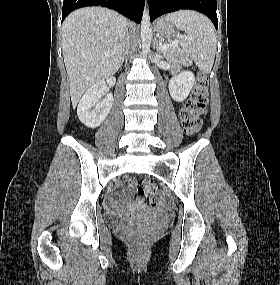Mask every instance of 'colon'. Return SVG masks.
Masks as SVG:
<instances>
[{
	"instance_id": "colon-1",
	"label": "colon",
	"mask_w": 280,
	"mask_h": 285,
	"mask_svg": "<svg viewBox=\"0 0 280 285\" xmlns=\"http://www.w3.org/2000/svg\"><path fill=\"white\" fill-rule=\"evenodd\" d=\"M208 87L209 79L207 75L201 72L198 73L193 93L180 111L181 123L187 134L197 133L202 126L201 116L208 104ZM125 181L127 186L136 191L139 196H147L153 206H160L165 203V194L153 183L149 181L140 183L135 178H127ZM132 242L135 245H141L142 238L134 237Z\"/></svg>"
}]
</instances>
